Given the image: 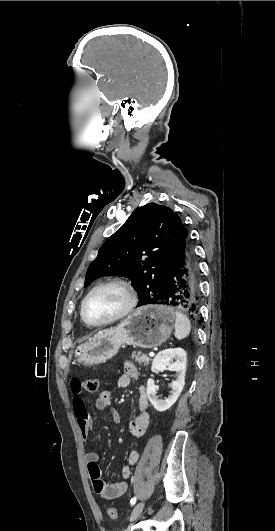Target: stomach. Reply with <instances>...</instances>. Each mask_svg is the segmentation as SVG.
Here are the masks:
<instances>
[{"label":"stomach","mask_w":275,"mask_h":531,"mask_svg":"<svg viewBox=\"0 0 275 531\" xmlns=\"http://www.w3.org/2000/svg\"><path fill=\"white\" fill-rule=\"evenodd\" d=\"M175 321L170 301H146L117 327L98 331L87 343L78 345L74 357L83 367L106 363L122 345L154 349L169 339Z\"/></svg>","instance_id":"0dacf381"}]
</instances>
